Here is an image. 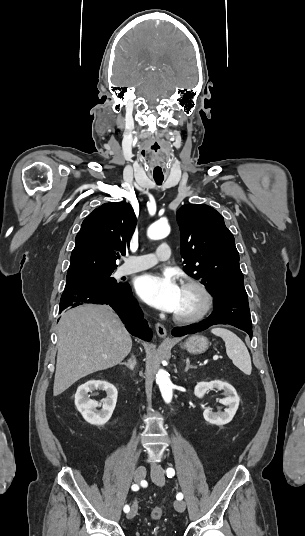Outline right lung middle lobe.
<instances>
[{"label": "right lung middle lobe", "mask_w": 305, "mask_h": 536, "mask_svg": "<svg viewBox=\"0 0 305 536\" xmlns=\"http://www.w3.org/2000/svg\"><path fill=\"white\" fill-rule=\"evenodd\" d=\"M114 270L74 276L67 278L65 289L67 288H95L101 290H113L120 287L123 283L117 282L113 277Z\"/></svg>", "instance_id": "right-lung-middle-lobe-1"}]
</instances>
